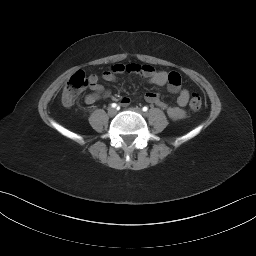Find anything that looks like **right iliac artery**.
I'll return each instance as SVG.
<instances>
[{
    "label": "right iliac artery",
    "instance_id": "obj_1",
    "mask_svg": "<svg viewBox=\"0 0 256 256\" xmlns=\"http://www.w3.org/2000/svg\"><path fill=\"white\" fill-rule=\"evenodd\" d=\"M111 107L116 108V107H117V104H116V103H112V104H111Z\"/></svg>",
    "mask_w": 256,
    "mask_h": 256
}]
</instances>
